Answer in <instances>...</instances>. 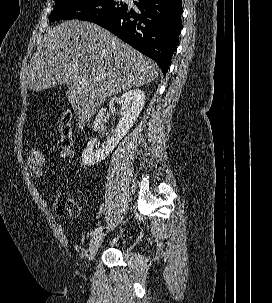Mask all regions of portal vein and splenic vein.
<instances>
[{"mask_svg":"<svg viewBox=\"0 0 272 303\" xmlns=\"http://www.w3.org/2000/svg\"><path fill=\"white\" fill-rule=\"evenodd\" d=\"M96 79H98V78H96ZM79 82L80 83H86V79H81V80H79Z\"/></svg>","mask_w":272,"mask_h":303,"instance_id":"portal-vein-and-splenic-vein-1","label":"portal vein and splenic vein"}]
</instances>
